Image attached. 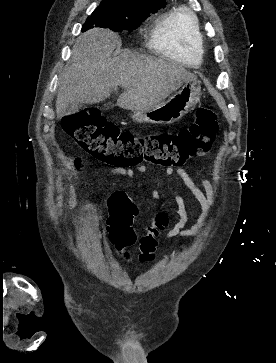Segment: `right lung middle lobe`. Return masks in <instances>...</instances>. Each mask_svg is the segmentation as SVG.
<instances>
[{
    "label": "right lung middle lobe",
    "mask_w": 276,
    "mask_h": 363,
    "mask_svg": "<svg viewBox=\"0 0 276 363\" xmlns=\"http://www.w3.org/2000/svg\"><path fill=\"white\" fill-rule=\"evenodd\" d=\"M160 8L143 4L118 5L101 2L86 19L82 31L94 27L108 28L113 31L134 30L149 14L157 12Z\"/></svg>",
    "instance_id": "right-lung-middle-lobe-1"
}]
</instances>
